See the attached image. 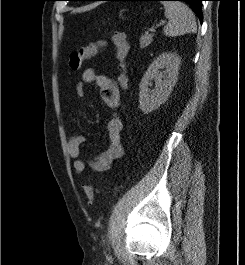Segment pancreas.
Instances as JSON below:
<instances>
[{
    "label": "pancreas",
    "mask_w": 245,
    "mask_h": 265,
    "mask_svg": "<svg viewBox=\"0 0 245 265\" xmlns=\"http://www.w3.org/2000/svg\"><path fill=\"white\" fill-rule=\"evenodd\" d=\"M153 41V35H142L140 38V48L144 49Z\"/></svg>",
    "instance_id": "1"
}]
</instances>
